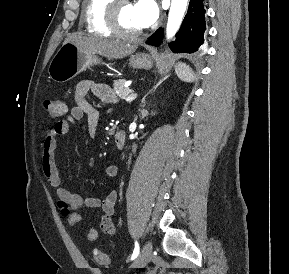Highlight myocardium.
Segmentation results:
<instances>
[{
    "label": "myocardium",
    "mask_w": 289,
    "mask_h": 274,
    "mask_svg": "<svg viewBox=\"0 0 289 274\" xmlns=\"http://www.w3.org/2000/svg\"><path fill=\"white\" fill-rule=\"evenodd\" d=\"M131 3L129 0H112L107 7L106 23L110 31L117 37L122 39H136L143 35V30L127 31L120 23V9L122 5Z\"/></svg>",
    "instance_id": "obj_1"
}]
</instances>
